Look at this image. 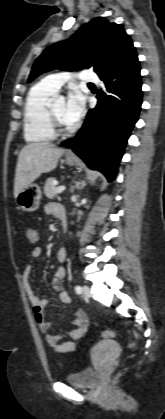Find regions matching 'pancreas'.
<instances>
[{"instance_id": "1", "label": "pancreas", "mask_w": 165, "mask_h": 419, "mask_svg": "<svg viewBox=\"0 0 165 419\" xmlns=\"http://www.w3.org/2000/svg\"><path fill=\"white\" fill-rule=\"evenodd\" d=\"M56 179L54 177H50L46 180L44 185V193L47 198H54L57 196V187L54 185V181Z\"/></svg>"}]
</instances>
